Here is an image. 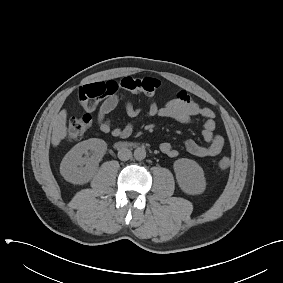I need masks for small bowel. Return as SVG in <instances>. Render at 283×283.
<instances>
[{
    "label": "small bowel",
    "instance_id": "small-bowel-1",
    "mask_svg": "<svg viewBox=\"0 0 283 283\" xmlns=\"http://www.w3.org/2000/svg\"><path fill=\"white\" fill-rule=\"evenodd\" d=\"M116 85V81L97 82L87 84L79 90L80 105L87 112L94 111L98 102L103 100L97 114L99 129L103 133H110L113 137L125 139L132 135L135 127L134 121L140 118L163 117L188 124L193 119L200 117L204 119L202 137L205 144L189 139L184 144L185 150L200 158L215 157L221 153L225 141L222 136L215 134L214 111L195 102L186 91H179L175 98L164 105L152 101L145 113H143L141 107L135 105L132 101H127L125 112L132 121L123 127H113L111 119L107 116L117 107L119 102ZM160 151L170 158L179 155L178 149L169 142L161 143Z\"/></svg>",
    "mask_w": 283,
    "mask_h": 283
}]
</instances>
